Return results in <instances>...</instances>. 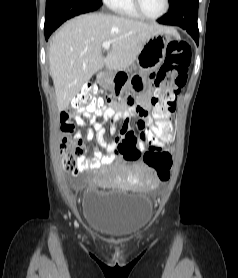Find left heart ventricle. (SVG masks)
I'll return each mask as SVG.
<instances>
[{"label": "left heart ventricle", "instance_id": "b2bd125f", "mask_svg": "<svg viewBox=\"0 0 238 278\" xmlns=\"http://www.w3.org/2000/svg\"><path fill=\"white\" fill-rule=\"evenodd\" d=\"M143 10L149 16L160 15L165 7V0H141Z\"/></svg>", "mask_w": 238, "mask_h": 278}]
</instances>
